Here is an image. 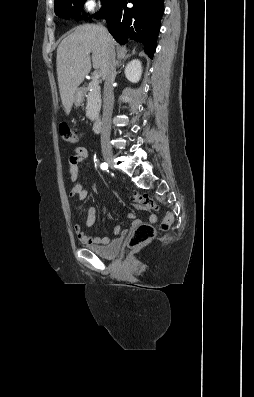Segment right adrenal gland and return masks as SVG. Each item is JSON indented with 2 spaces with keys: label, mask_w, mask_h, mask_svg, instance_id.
<instances>
[{
  "label": "right adrenal gland",
  "mask_w": 254,
  "mask_h": 397,
  "mask_svg": "<svg viewBox=\"0 0 254 397\" xmlns=\"http://www.w3.org/2000/svg\"><path fill=\"white\" fill-rule=\"evenodd\" d=\"M116 64H117V66H119V62L118 61L116 62Z\"/></svg>",
  "instance_id": "right-adrenal-gland-1"
}]
</instances>
